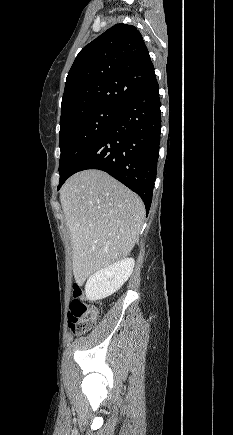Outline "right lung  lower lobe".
<instances>
[{
  "label": "right lung lower lobe",
  "instance_id": "right-lung-lower-lobe-1",
  "mask_svg": "<svg viewBox=\"0 0 233 435\" xmlns=\"http://www.w3.org/2000/svg\"><path fill=\"white\" fill-rule=\"evenodd\" d=\"M161 131L159 85L156 77L130 98L98 140L60 180L85 169L107 172L143 200L146 213L157 173Z\"/></svg>",
  "mask_w": 233,
  "mask_h": 435
}]
</instances>
